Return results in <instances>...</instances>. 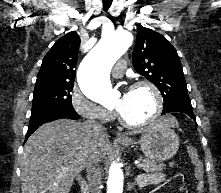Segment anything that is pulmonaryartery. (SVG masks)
I'll return each instance as SVG.
<instances>
[{
	"instance_id": "obj_1",
	"label": "pulmonary artery",
	"mask_w": 221,
	"mask_h": 193,
	"mask_svg": "<svg viewBox=\"0 0 221 193\" xmlns=\"http://www.w3.org/2000/svg\"><path fill=\"white\" fill-rule=\"evenodd\" d=\"M125 67L126 63L124 60L118 61L112 70V75L117 78L121 77L124 74Z\"/></svg>"
}]
</instances>
